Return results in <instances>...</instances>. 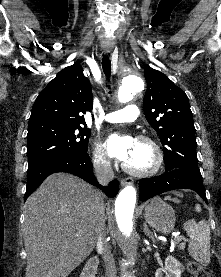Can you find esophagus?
Here are the masks:
<instances>
[{"label":"esophagus","instance_id":"esophagus-1","mask_svg":"<svg viewBox=\"0 0 221 277\" xmlns=\"http://www.w3.org/2000/svg\"><path fill=\"white\" fill-rule=\"evenodd\" d=\"M104 52L109 53V50H105ZM132 182H133L132 178H123L120 181L122 186L130 185V184H132Z\"/></svg>","mask_w":221,"mask_h":277}]
</instances>
